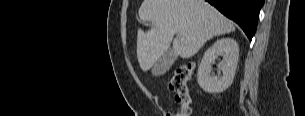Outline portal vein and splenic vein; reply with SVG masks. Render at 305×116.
Masks as SVG:
<instances>
[{
    "label": "portal vein and splenic vein",
    "mask_w": 305,
    "mask_h": 116,
    "mask_svg": "<svg viewBox=\"0 0 305 116\" xmlns=\"http://www.w3.org/2000/svg\"><path fill=\"white\" fill-rule=\"evenodd\" d=\"M178 37H181V34L178 33Z\"/></svg>",
    "instance_id": "1"
}]
</instances>
